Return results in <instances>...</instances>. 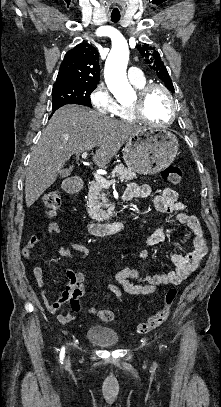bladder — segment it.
Instances as JSON below:
<instances>
[{"label":"bladder","instance_id":"bladder-1","mask_svg":"<svg viewBox=\"0 0 221 407\" xmlns=\"http://www.w3.org/2000/svg\"><path fill=\"white\" fill-rule=\"evenodd\" d=\"M85 337L87 340L104 347L116 346L119 343L118 333L108 326H91L87 329Z\"/></svg>","mask_w":221,"mask_h":407}]
</instances>
